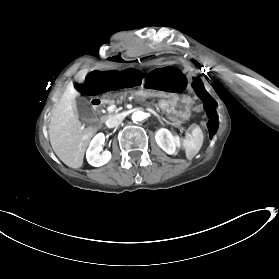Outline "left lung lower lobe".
<instances>
[{
  "label": "left lung lower lobe",
  "instance_id": "left-lung-lower-lobe-1",
  "mask_svg": "<svg viewBox=\"0 0 279 279\" xmlns=\"http://www.w3.org/2000/svg\"><path fill=\"white\" fill-rule=\"evenodd\" d=\"M193 88L195 89V91L197 92V94L199 95V97H201L204 101V108L207 112V116L209 118L208 122H207V127L209 130V135L210 137H212L213 132H215V125L217 122V116H216V112H215V102L212 101L211 99H209L207 97V95L203 92L201 85L199 83L198 80H195V82L192 84Z\"/></svg>",
  "mask_w": 279,
  "mask_h": 279
}]
</instances>
